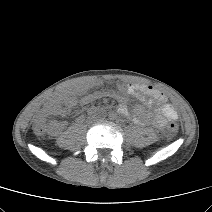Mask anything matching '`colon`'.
<instances>
[{
  "label": "colon",
  "mask_w": 212,
  "mask_h": 212,
  "mask_svg": "<svg viewBox=\"0 0 212 212\" xmlns=\"http://www.w3.org/2000/svg\"><path fill=\"white\" fill-rule=\"evenodd\" d=\"M49 126L42 120H39L34 123L33 131L36 135L43 136L49 132ZM178 131V125L174 122H171L168 125V132L170 134H175Z\"/></svg>",
  "instance_id": "5ec220e1"
}]
</instances>
